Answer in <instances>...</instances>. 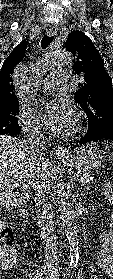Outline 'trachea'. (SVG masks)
Masks as SVG:
<instances>
[{
    "mask_svg": "<svg viewBox=\"0 0 113 279\" xmlns=\"http://www.w3.org/2000/svg\"><path fill=\"white\" fill-rule=\"evenodd\" d=\"M53 39H54V36L44 35L41 40V48L46 49L50 45V43L53 41Z\"/></svg>",
    "mask_w": 113,
    "mask_h": 279,
    "instance_id": "1",
    "label": "trachea"
}]
</instances>
